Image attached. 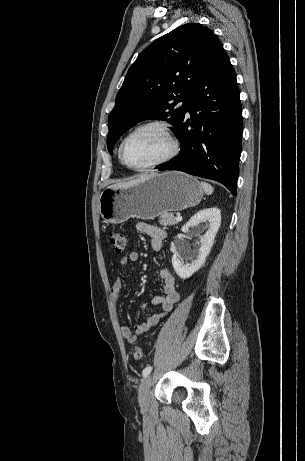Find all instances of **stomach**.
Here are the masks:
<instances>
[{"mask_svg": "<svg viewBox=\"0 0 305 461\" xmlns=\"http://www.w3.org/2000/svg\"><path fill=\"white\" fill-rule=\"evenodd\" d=\"M201 184L180 171L154 174L127 188H107L99 197L102 218L119 224L129 218L153 219L164 212L181 211L198 205Z\"/></svg>", "mask_w": 305, "mask_h": 461, "instance_id": "0dacf381", "label": "stomach"}]
</instances>
